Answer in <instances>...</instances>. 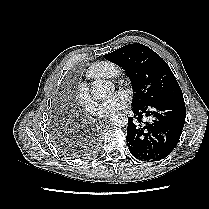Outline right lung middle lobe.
<instances>
[{"label": "right lung middle lobe", "mask_w": 209, "mask_h": 209, "mask_svg": "<svg viewBox=\"0 0 209 209\" xmlns=\"http://www.w3.org/2000/svg\"><path fill=\"white\" fill-rule=\"evenodd\" d=\"M56 145L60 151L68 155L76 156L81 153L75 145L68 143L62 139H56Z\"/></svg>", "instance_id": "1"}]
</instances>
